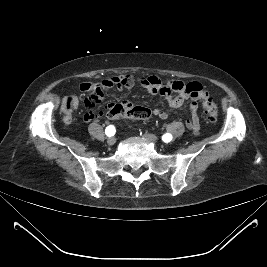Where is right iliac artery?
I'll return each mask as SVG.
<instances>
[{
	"instance_id": "1",
	"label": "right iliac artery",
	"mask_w": 267,
	"mask_h": 267,
	"mask_svg": "<svg viewBox=\"0 0 267 267\" xmlns=\"http://www.w3.org/2000/svg\"><path fill=\"white\" fill-rule=\"evenodd\" d=\"M116 130L115 127L113 125H109L106 130L105 133L107 136H113L115 134Z\"/></svg>"
}]
</instances>
